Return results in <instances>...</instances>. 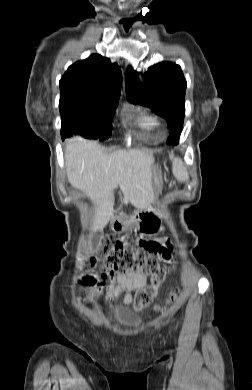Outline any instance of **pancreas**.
<instances>
[{"label": "pancreas", "mask_w": 252, "mask_h": 390, "mask_svg": "<svg viewBox=\"0 0 252 390\" xmlns=\"http://www.w3.org/2000/svg\"><path fill=\"white\" fill-rule=\"evenodd\" d=\"M119 205H122V202H119ZM125 205H129V202H125Z\"/></svg>", "instance_id": "pancreas-1"}]
</instances>
